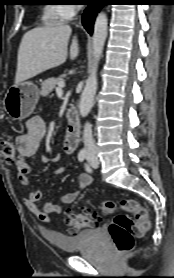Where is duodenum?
I'll return each mask as SVG.
<instances>
[{
    "label": "duodenum",
    "instance_id": "obj_1",
    "mask_svg": "<svg viewBox=\"0 0 174 278\" xmlns=\"http://www.w3.org/2000/svg\"><path fill=\"white\" fill-rule=\"evenodd\" d=\"M67 128L65 133V149L70 150L71 146L79 139L80 124L79 116L76 110L68 109L67 111Z\"/></svg>",
    "mask_w": 174,
    "mask_h": 278
}]
</instances>
